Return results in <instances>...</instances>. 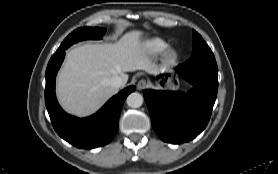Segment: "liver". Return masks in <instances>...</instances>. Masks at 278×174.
<instances>
[{
  "label": "liver",
  "instance_id": "1",
  "mask_svg": "<svg viewBox=\"0 0 278 174\" xmlns=\"http://www.w3.org/2000/svg\"><path fill=\"white\" fill-rule=\"evenodd\" d=\"M142 34L134 30L114 44L87 43L70 50L56 84L63 109L78 117L89 116L117 93L118 89L108 83L112 77H121L124 85L128 80L126 72L159 74L161 68L147 55Z\"/></svg>",
  "mask_w": 278,
  "mask_h": 174
}]
</instances>
